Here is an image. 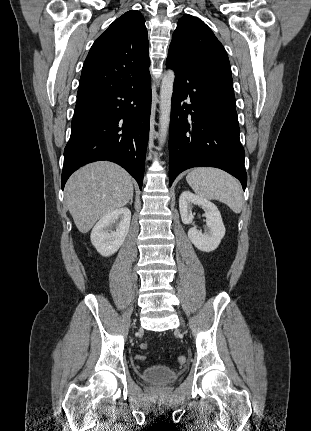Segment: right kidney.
<instances>
[{
	"instance_id": "1",
	"label": "right kidney",
	"mask_w": 311,
	"mask_h": 431,
	"mask_svg": "<svg viewBox=\"0 0 311 431\" xmlns=\"http://www.w3.org/2000/svg\"><path fill=\"white\" fill-rule=\"evenodd\" d=\"M131 212L128 208H119L101 217L91 231V243L101 255H112L118 251L129 231ZM115 225L116 231H112Z\"/></svg>"
}]
</instances>
